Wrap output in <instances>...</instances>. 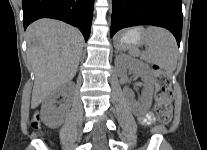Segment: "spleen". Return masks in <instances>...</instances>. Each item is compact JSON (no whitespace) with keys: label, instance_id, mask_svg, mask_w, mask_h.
<instances>
[{"label":"spleen","instance_id":"1","mask_svg":"<svg viewBox=\"0 0 207 150\" xmlns=\"http://www.w3.org/2000/svg\"><path fill=\"white\" fill-rule=\"evenodd\" d=\"M146 50L140 52L137 46L130 47L131 56H141L149 63L159 66L171 74L177 66L178 48L174 36L166 29L151 26L143 32Z\"/></svg>","mask_w":207,"mask_h":150}]
</instances>
